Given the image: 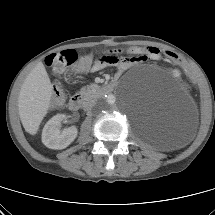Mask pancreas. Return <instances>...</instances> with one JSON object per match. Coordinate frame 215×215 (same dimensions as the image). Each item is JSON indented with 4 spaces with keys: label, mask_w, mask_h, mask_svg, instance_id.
Returning <instances> with one entry per match:
<instances>
[{
    "label": "pancreas",
    "mask_w": 215,
    "mask_h": 215,
    "mask_svg": "<svg viewBox=\"0 0 215 215\" xmlns=\"http://www.w3.org/2000/svg\"><path fill=\"white\" fill-rule=\"evenodd\" d=\"M99 89V86L97 84H91L86 87H82L80 90L81 95H90L94 92H96Z\"/></svg>",
    "instance_id": "obj_1"
}]
</instances>
